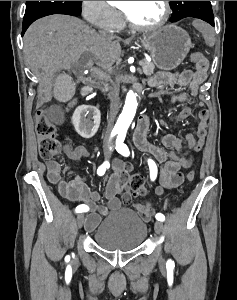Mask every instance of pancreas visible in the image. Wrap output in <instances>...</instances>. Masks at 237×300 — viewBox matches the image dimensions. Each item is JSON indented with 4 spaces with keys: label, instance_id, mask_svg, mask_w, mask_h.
<instances>
[{
    "label": "pancreas",
    "instance_id": "1",
    "mask_svg": "<svg viewBox=\"0 0 237 300\" xmlns=\"http://www.w3.org/2000/svg\"><path fill=\"white\" fill-rule=\"evenodd\" d=\"M144 61V67H143V73L144 75H153L154 73V69H155V65L154 63H149V61H146V59H143ZM140 65V63H139ZM107 81H111V79H108V77H106L105 79V83H107ZM106 87V85H105Z\"/></svg>",
    "mask_w": 237,
    "mask_h": 300
}]
</instances>
